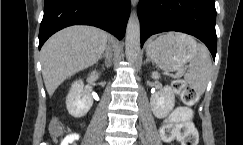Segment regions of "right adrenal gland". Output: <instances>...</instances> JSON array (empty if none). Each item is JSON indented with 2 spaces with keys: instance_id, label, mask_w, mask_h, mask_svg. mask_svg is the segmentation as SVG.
<instances>
[{
  "instance_id": "right-adrenal-gland-1",
  "label": "right adrenal gland",
  "mask_w": 243,
  "mask_h": 145,
  "mask_svg": "<svg viewBox=\"0 0 243 145\" xmlns=\"http://www.w3.org/2000/svg\"><path fill=\"white\" fill-rule=\"evenodd\" d=\"M111 58H112V49H111V47L108 45L107 47H106V51H105V53L101 56V60L102 59H104V61H105V64L107 65V66H109L110 65V62H111Z\"/></svg>"
}]
</instances>
